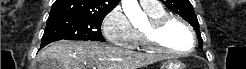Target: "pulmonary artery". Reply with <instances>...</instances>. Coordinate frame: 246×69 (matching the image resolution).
Here are the masks:
<instances>
[{
    "label": "pulmonary artery",
    "instance_id": "1",
    "mask_svg": "<svg viewBox=\"0 0 246 69\" xmlns=\"http://www.w3.org/2000/svg\"><path fill=\"white\" fill-rule=\"evenodd\" d=\"M141 4L143 8H156L161 5L159 1H152V0H142Z\"/></svg>",
    "mask_w": 246,
    "mask_h": 69
}]
</instances>
